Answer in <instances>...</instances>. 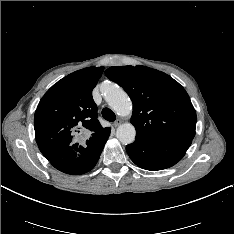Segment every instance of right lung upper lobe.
Wrapping results in <instances>:
<instances>
[{"label":"right lung upper lobe","instance_id":"1","mask_svg":"<svg viewBox=\"0 0 234 234\" xmlns=\"http://www.w3.org/2000/svg\"><path fill=\"white\" fill-rule=\"evenodd\" d=\"M104 67L78 70L54 84L40 100L34 116L37 145L52 162L70 161L109 131L97 120L92 90Z\"/></svg>","mask_w":234,"mask_h":234}]
</instances>
